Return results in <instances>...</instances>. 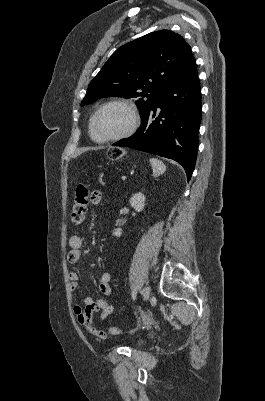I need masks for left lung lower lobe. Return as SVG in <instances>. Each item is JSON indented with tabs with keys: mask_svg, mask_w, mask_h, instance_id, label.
<instances>
[{
	"mask_svg": "<svg viewBox=\"0 0 265 401\" xmlns=\"http://www.w3.org/2000/svg\"><path fill=\"white\" fill-rule=\"evenodd\" d=\"M158 107L161 111L155 118ZM201 115V88L192 56L177 78L141 116L137 132L113 145L173 159L184 167L190 180L197 158Z\"/></svg>",
	"mask_w": 265,
	"mask_h": 401,
	"instance_id": "1",
	"label": "left lung lower lobe"
}]
</instances>
